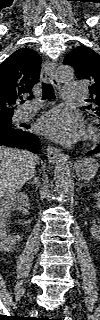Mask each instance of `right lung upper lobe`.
Returning <instances> with one entry per match:
<instances>
[{"mask_svg": "<svg viewBox=\"0 0 100 320\" xmlns=\"http://www.w3.org/2000/svg\"><path fill=\"white\" fill-rule=\"evenodd\" d=\"M40 64L35 51L21 48L0 65V119L12 118L22 95L32 94V86L39 81Z\"/></svg>", "mask_w": 100, "mask_h": 320, "instance_id": "obj_1", "label": "right lung upper lobe"}]
</instances>
